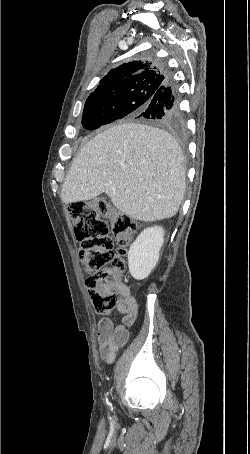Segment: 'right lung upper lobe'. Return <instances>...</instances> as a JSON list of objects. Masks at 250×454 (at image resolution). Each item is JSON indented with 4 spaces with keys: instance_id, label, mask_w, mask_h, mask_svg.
<instances>
[{
    "instance_id": "obj_1",
    "label": "right lung upper lobe",
    "mask_w": 250,
    "mask_h": 454,
    "mask_svg": "<svg viewBox=\"0 0 250 454\" xmlns=\"http://www.w3.org/2000/svg\"><path fill=\"white\" fill-rule=\"evenodd\" d=\"M167 78L166 68L153 59L124 63L101 79L97 89L90 94L85 104L105 98H119L141 85L152 84L162 88Z\"/></svg>"
}]
</instances>
